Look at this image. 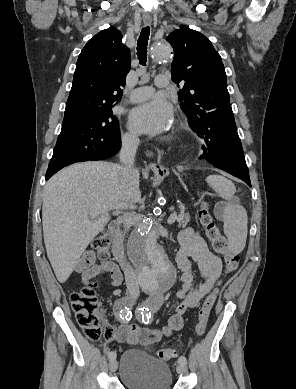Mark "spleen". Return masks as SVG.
Wrapping results in <instances>:
<instances>
[{
  "label": "spleen",
  "mask_w": 296,
  "mask_h": 389,
  "mask_svg": "<svg viewBox=\"0 0 296 389\" xmlns=\"http://www.w3.org/2000/svg\"><path fill=\"white\" fill-rule=\"evenodd\" d=\"M206 182L221 198L228 201L222 215L224 234L228 239L229 250L239 254L245 248L248 218L246 210L234 197L235 185L221 175H209Z\"/></svg>",
  "instance_id": "3e777b00"
}]
</instances>
